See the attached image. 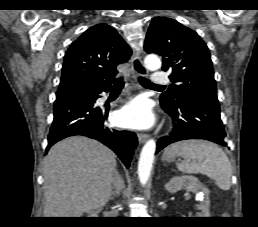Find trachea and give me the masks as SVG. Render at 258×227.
I'll list each match as a JSON object with an SVG mask.
<instances>
[{"instance_id": "trachea-1", "label": "trachea", "mask_w": 258, "mask_h": 227, "mask_svg": "<svg viewBox=\"0 0 258 227\" xmlns=\"http://www.w3.org/2000/svg\"><path fill=\"white\" fill-rule=\"evenodd\" d=\"M139 82L147 88H164L165 86L155 85L148 79L144 77H139ZM124 87V80L123 78H117L114 83V89H122Z\"/></svg>"}]
</instances>
